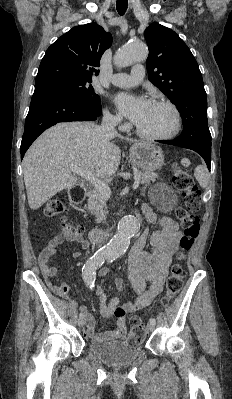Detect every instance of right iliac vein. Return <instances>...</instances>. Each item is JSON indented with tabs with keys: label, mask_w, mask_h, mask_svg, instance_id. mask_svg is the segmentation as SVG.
I'll return each instance as SVG.
<instances>
[{
	"label": "right iliac vein",
	"mask_w": 232,
	"mask_h": 399,
	"mask_svg": "<svg viewBox=\"0 0 232 399\" xmlns=\"http://www.w3.org/2000/svg\"><path fill=\"white\" fill-rule=\"evenodd\" d=\"M77 325H78V326H84V325H85L84 320H83V319H78V320H77Z\"/></svg>",
	"instance_id": "right-iliac-vein-1"
}]
</instances>
